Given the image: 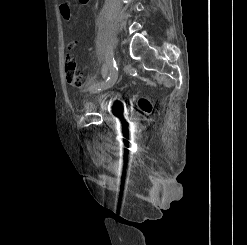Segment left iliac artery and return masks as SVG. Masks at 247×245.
Segmentation results:
<instances>
[{"mask_svg":"<svg viewBox=\"0 0 247 245\" xmlns=\"http://www.w3.org/2000/svg\"><path fill=\"white\" fill-rule=\"evenodd\" d=\"M109 40H111V39H109ZM105 61H106V68H108L110 70L109 76H104V77H106L105 82L108 83L112 79L114 73L118 71V67L116 65V62H115V59L113 56L112 45H107V52L105 55ZM106 83L102 82L101 84H106Z\"/></svg>","mask_w":247,"mask_h":245,"instance_id":"left-iliac-artery-1","label":"left iliac artery"}]
</instances>
